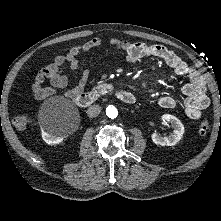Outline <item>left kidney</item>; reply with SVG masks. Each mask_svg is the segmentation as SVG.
Listing matches in <instances>:
<instances>
[{
    "label": "left kidney",
    "mask_w": 221,
    "mask_h": 221,
    "mask_svg": "<svg viewBox=\"0 0 221 221\" xmlns=\"http://www.w3.org/2000/svg\"><path fill=\"white\" fill-rule=\"evenodd\" d=\"M161 119L163 121H167L170 122L172 124V126L174 127L173 132L169 135V136H161L158 133H153L152 134V141L157 144V145H161V146H172L177 144L184 133V126L181 123V121L170 114H164Z\"/></svg>",
    "instance_id": "1"
}]
</instances>
